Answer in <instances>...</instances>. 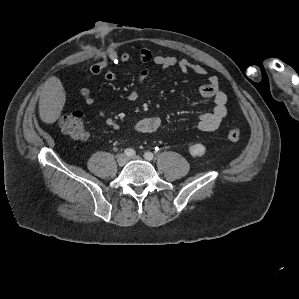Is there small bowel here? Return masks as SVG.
Segmentation results:
<instances>
[{"label": "small bowel", "mask_w": 299, "mask_h": 299, "mask_svg": "<svg viewBox=\"0 0 299 299\" xmlns=\"http://www.w3.org/2000/svg\"><path fill=\"white\" fill-rule=\"evenodd\" d=\"M135 60L144 64H153L159 67H177L183 73H194L197 75H205L206 69L199 65L190 62L185 58H177L166 55H155L151 50L143 48L139 51L137 56L130 53H123L120 56L111 55L108 59H103L98 63L92 65L87 73V80L100 75L104 72V77L107 81H113L116 78L115 71L111 68L112 65L128 64ZM150 71L144 69L139 75V83L143 85L147 80ZM199 94L205 98H212L214 101L213 109L210 112L204 113L200 116L199 121L196 124V129L202 132H210L216 130L223 119L227 115V95L220 90L219 80L217 76H209L207 83L199 87ZM81 96L86 104H93L95 98L91 93V90L87 87L81 89ZM138 93L135 89L131 90L129 99L136 100ZM161 126V120L158 117L151 116L139 119L134 126V129L138 133H153L157 131Z\"/></svg>", "instance_id": "small-bowel-1"}]
</instances>
